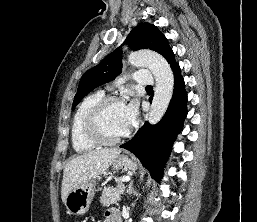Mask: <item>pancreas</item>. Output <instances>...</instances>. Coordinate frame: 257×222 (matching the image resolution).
<instances>
[{"mask_svg": "<svg viewBox=\"0 0 257 222\" xmlns=\"http://www.w3.org/2000/svg\"><path fill=\"white\" fill-rule=\"evenodd\" d=\"M125 185L119 183L117 187H104L100 197V203L103 206L115 204L120 200L121 194L124 193Z\"/></svg>", "mask_w": 257, "mask_h": 222, "instance_id": "obj_1", "label": "pancreas"}]
</instances>
